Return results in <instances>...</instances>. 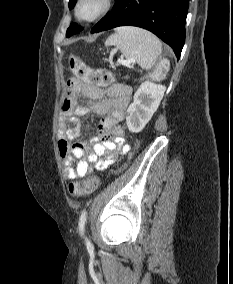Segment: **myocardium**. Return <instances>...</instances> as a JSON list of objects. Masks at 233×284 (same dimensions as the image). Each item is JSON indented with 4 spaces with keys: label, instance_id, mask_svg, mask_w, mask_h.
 <instances>
[{
    "label": "myocardium",
    "instance_id": "myocardium-1",
    "mask_svg": "<svg viewBox=\"0 0 233 284\" xmlns=\"http://www.w3.org/2000/svg\"><path fill=\"white\" fill-rule=\"evenodd\" d=\"M86 1L87 0H77L74 6V15L76 19L83 23H92L100 19L110 11L113 4L112 0H97L99 4L97 11L91 16H83L80 12V9L83 3Z\"/></svg>",
    "mask_w": 233,
    "mask_h": 284
}]
</instances>
